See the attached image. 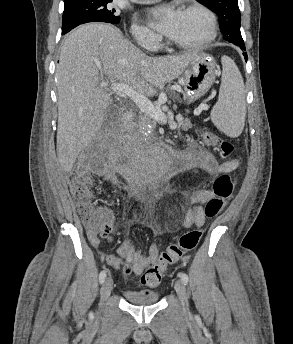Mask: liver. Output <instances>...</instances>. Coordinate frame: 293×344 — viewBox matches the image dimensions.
Instances as JSON below:
<instances>
[{"mask_svg": "<svg viewBox=\"0 0 293 344\" xmlns=\"http://www.w3.org/2000/svg\"><path fill=\"white\" fill-rule=\"evenodd\" d=\"M196 52L153 57L107 24H87L64 41L56 69L58 88L57 155L70 172L79 153L100 130L113 100L103 79L151 96L179 77Z\"/></svg>", "mask_w": 293, "mask_h": 344, "instance_id": "obj_1", "label": "liver"}]
</instances>
